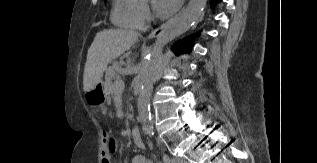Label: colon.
Returning <instances> with one entry per match:
<instances>
[{"mask_svg": "<svg viewBox=\"0 0 317 163\" xmlns=\"http://www.w3.org/2000/svg\"><path fill=\"white\" fill-rule=\"evenodd\" d=\"M107 144H108V149L110 153H114L115 148H116V144H115V139L113 136L108 135L107 136V140H106Z\"/></svg>", "mask_w": 317, "mask_h": 163, "instance_id": "1", "label": "colon"}]
</instances>
